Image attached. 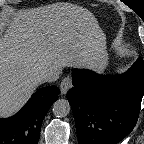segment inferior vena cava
<instances>
[{
    "instance_id": "inferior-vena-cava-1",
    "label": "inferior vena cava",
    "mask_w": 144,
    "mask_h": 144,
    "mask_svg": "<svg viewBox=\"0 0 144 144\" xmlns=\"http://www.w3.org/2000/svg\"><path fill=\"white\" fill-rule=\"evenodd\" d=\"M58 77H59V71L50 69V70L45 71L41 75L40 79L43 82H53V81H56Z\"/></svg>"
}]
</instances>
